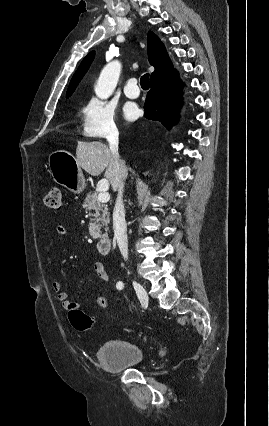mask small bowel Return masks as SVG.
I'll return each instance as SVG.
<instances>
[{
    "instance_id": "obj_1",
    "label": "small bowel",
    "mask_w": 269,
    "mask_h": 426,
    "mask_svg": "<svg viewBox=\"0 0 269 426\" xmlns=\"http://www.w3.org/2000/svg\"><path fill=\"white\" fill-rule=\"evenodd\" d=\"M67 233H68V230L64 225L57 226L54 231V235L59 238L65 237ZM93 271L102 282L106 284L110 283V276L107 273L103 263L101 262L94 263ZM119 283L123 285L122 282H119ZM51 287L56 294L57 300L59 301V303L64 309L70 310L73 307L79 306L78 303L73 302L69 299L68 294L62 290L61 284L57 280H52ZM94 304L101 308H109L111 306V301L106 297H96L94 299Z\"/></svg>"
}]
</instances>
